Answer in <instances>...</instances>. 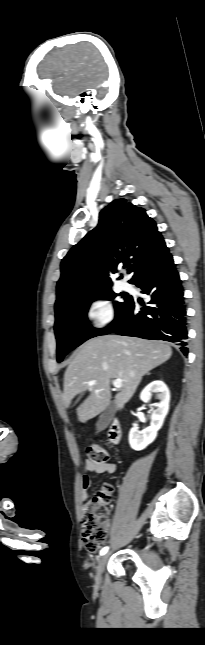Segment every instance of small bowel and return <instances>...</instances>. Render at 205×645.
<instances>
[{
    "label": "small bowel",
    "mask_w": 205,
    "mask_h": 645,
    "mask_svg": "<svg viewBox=\"0 0 205 645\" xmlns=\"http://www.w3.org/2000/svg\"><path fill=\"white\" fill-rule=\"evenodd\" d=\"M115 471L116 465L114 463L109 462L102 465H94L91 462L86 461L84 464V474L81 479L83 499L88 497V490L92 485V480L89 474H113Z\"/></svg>",
    "instance_id": "1"
}]
</instances>
